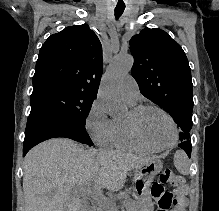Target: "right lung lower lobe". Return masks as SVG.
<instances>
[{"instance_id": "1", "label": "right lung lower lobe", "mask_w": 219, "mask_h": 211, "mask_svg": "<svg viewBox=\"0 0 219 211\" xmlns=\"http://www.w3.org/2000/svg\"><path fill=\"white\" fill-rule=\"evenodd\" d=\"M56 137L93 145L85 127L48 111H31L25 131L23 156L40 142Z\"/></svg>"}]
</instances>
